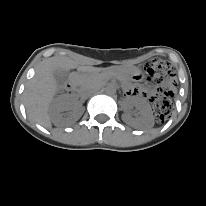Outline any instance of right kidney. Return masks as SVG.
Listing matches in <instances>:
<instances>
[{
  "label": "right kidney",
  "instance_id": "right-kidney-1",
  "mask_svg": "<svg viewBox=\"0 0 206 206\" xmlns=\"http://www.w3.org/2000/svg\"><path fill=\"white\" fill-rule=\"evenodd\" d=\"M49 115L52 122L56 124L78 119L80 112L74 96L63 95L56 98L50 107Z\"/></svg>",
  "mask_w": 206,
  "mask_h": 206
}]
</instances>
